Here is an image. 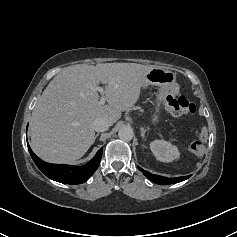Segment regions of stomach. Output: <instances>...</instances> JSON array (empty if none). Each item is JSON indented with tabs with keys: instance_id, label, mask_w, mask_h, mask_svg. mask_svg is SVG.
I'll return each instance as SVG.
<instances>
[{
	"instance_id": "obj_1",
	"label": "stomach",
	"mask_w": 237,
	"mask_h": 237,
	"mask_svg": "<svg viewBox=\"0 0 237 237\" xmlns=\"http://www.w3.org/2000/svg\"><path fill=\"white\" fill-rule=\"evenodd\" d=\"M176 82V73L160 67H154L144 77L142 86L149 85L159 87V94H163L170 86ZM159 118V104L155 113L152 115V121L157 122Z\"/></svg>"
}]
</instances>
